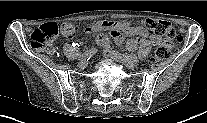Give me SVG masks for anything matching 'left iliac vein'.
Masks as SVG:
<instances>
[{"mask_svg":"<svg viewBox=\"0 0 207 123\" xmlns=\"http://www.w3.org/2000/svg\"><path fill=\"white\" fill-rule=\"evenodd\" d=\"M111 56L115 61L121 62L122 64H124L126 67H128L130 69H133L136 66L135 62L126 60L121 56L115 55L113 53L111 54Z\"/></svg>","mask_w":207,"mask_h":123,"instance_id":"4c4485c4","label":"left iliac vein"}]
</instances>
